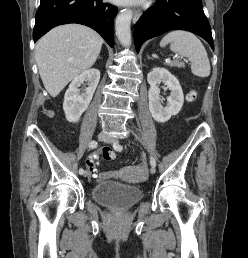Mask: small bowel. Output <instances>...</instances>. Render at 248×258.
<instances>
[{
	"label": "small bowel",
	"instance_id": "c3829d8e",
	"mask_svg": "<svg viewBox=\"0 0 248 258\" xmlns=\"http://www.w3.org/2000/svg\"><path fill=\"white\" fill-rule=\"evenodd\" d=\"M93 176L96 177L97 175H93ZM104 177L112 178V179H118L119 175H118L117 172H112V173L106 174Z\"/></svg>",
	"mask_w": 248,
	"mask_h": 258
}]
</instances>
